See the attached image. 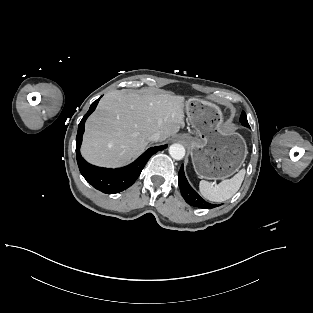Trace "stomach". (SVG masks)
<instances>
[{"label": "stomach", "instance_id": "0dacf381", "mask_svg": "<svg viewBox=\"0 0 313 313\" xmlns=\"http://www.w3.org/2000/svg\"><path fill=\"white\" fill-rule=\"evenodd\" d=\"M185 111L192 127L181 137L186 142L194 170L200 178L217 180L233 175L247 156L244 138L226 129L220 108L198 98L186 102Z\"/></svg>", "mask_w": 313, "mask_h": 313}]
</instances>
